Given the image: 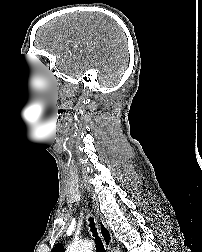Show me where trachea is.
<instances>
[{
  "mask_svg": "<svg viewBox=\"0 0 202 252\" xmlns=\"http://www.w3.org/2000/svg\"><path fill=\"white\" fill-rule=\"evenodd\" d=\"M89 227H90V231L93 234V237H95V243H96L97 251L98 252H106L105 249H104V245H103L100 237L98 236L97 229L95 227V222H94V219L92 217L89 218Z\"/></svg>",
  "mask_w": 202,
  "mask_h": 252,
  "instance_id": "trachea-1",
  "label": "trachea"
}]
</instances>
